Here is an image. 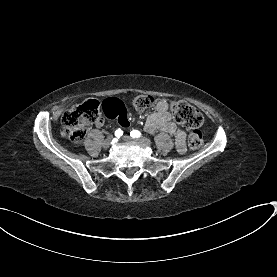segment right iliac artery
<instances>
[{"mask_svg":"<svg viewBox=\"0 0 277 277\" xmlns=\"http://www.w3.org/2000/svg\"><path fill=\"white\" fill-rule=\"evenodd\" d=\"M123 135V131L121 130V129H117L116 131H115V136L116 137H121Z\"/></svg>","mask_w":277,"mask_h":277,"instance_id":"obj_1","label":"right iliac artery"}]
</instances>
